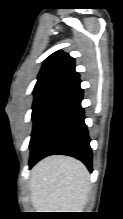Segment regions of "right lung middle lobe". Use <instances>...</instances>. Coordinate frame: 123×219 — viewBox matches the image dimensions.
<instances>
[{"label": "right lung middle lobe", "mask_w": 123, "mask_h": 219, "mask_svg": "<svg viewBox=\"0 0 123 219\" xmlns=\"http://www.w3.org/2000/svg\"><path fill=\"white\" fill-rule=\"evenodd\" d=\"M71 82L56 81L34 88V102H33V131L30 140V149H32L37 140L42 124L48 114L50 108L56 103L64 91L68 88Z\"/></svg>", "instance_id": "1"}]
</instances>
